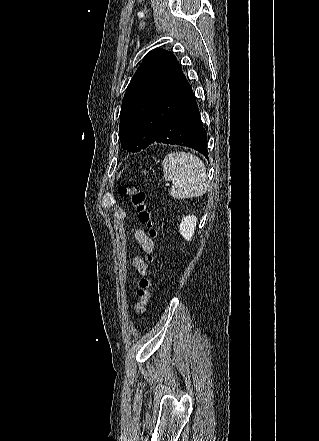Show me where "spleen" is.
Returning <instances> with one entry per match:
<instances>
[{"instance_id": "spleen-1", "label": "spleen", "mask_w": 319, "mask_h": 441, "mask_svg": "<svg viewBox=\"0 0 319 441\" xmlns=\"http://www.w3.org/2000/svg\"><path fill=\"white\" fill-rule=\"evenodd\" d=\"M165 181H172V197L194 198L206 193L208 178L203 161L184 151L167 154L162 161Z\"/></svg>"}]
</instances>
